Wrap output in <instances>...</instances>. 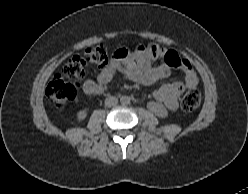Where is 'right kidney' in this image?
Listing matches in <instances>:
<instances>
[{"label":"right kidney","instance_id":"right-kidney-1","mask_svg":"<svg viewBox=\"0 0 248 194\" xmlns=\"http://www.w3.org/2000/svg\"><path fill=\"white\" fill-rule=\"evenodd\" d=\"M87 113H88V108H84L83 110H80L79 112H77V120L78 121H82L86 118L87 116Z\"/></svg>","mask_w":248,"mask_h":194}]
</instances>
